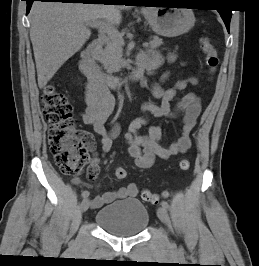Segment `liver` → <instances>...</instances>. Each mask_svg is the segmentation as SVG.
Instances as JSON below:
<instances>
[{"label": "liver", "instance_id": "obj_1", "mask_svg": "<svg viewBox=\"0 0 259 266\" xmlns=\"http://www.w3.org/2000/svg\"><path fill=\"white\" fill-rule=\"evenodd\" d=\"M126 8L124 5L34 2L29 14L30 39L39 88H44L90 38L89 23L104 19L111 25H119L121 10Z\"/></svg>", "mask_w": 259, "mask_h": 266}]
</instances>
